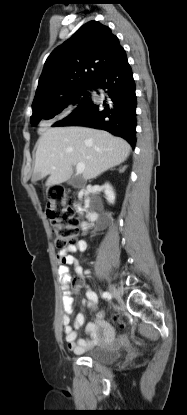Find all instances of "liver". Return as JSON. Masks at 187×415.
Here are the masks:
<instances>
[{
  "mask_svg": "<svg viewBox=\"0 0 187 415\" xmlns=\"http://www.w3.org/2000/svg\"><path fill=\"white\" fill-rule=\"evenodd\" d=\"M127 141L102 130L85 127H55L37 141L32 182L50 175L46 186L60 184L73 174V166L84 163L83 177L93 179L124 162L130 154Z\"/></svg>",
  "mask_w": 187,
  "mask_h": 415,
  "instance_id": "6515ba94",
  "label": "liver"
}]
</instances>
